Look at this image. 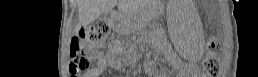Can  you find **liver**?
<instances>
[{
    "instance_id": "obj_1",
    "label": "liver",
    "mask_w": 258,
    "mask_h": 77,
    "mask_svg": "<svg viewBox=\"0 0 258 77\" xmlns=\"http://www.w3.org/2000/svg\"><path fill=\"white\" fill-rule=\"evenodd\" d=\"M121 13L129 12L128 3L126 0H78V16L79 24L81 26L89 25L95 21L101 14L110 11L117 5Z\"/></svg>"
}]
</instances>
